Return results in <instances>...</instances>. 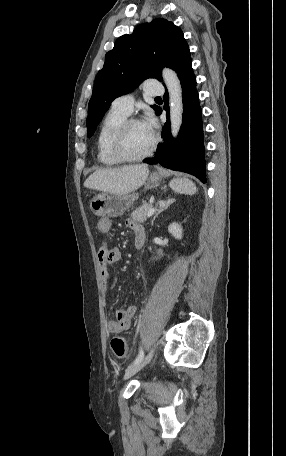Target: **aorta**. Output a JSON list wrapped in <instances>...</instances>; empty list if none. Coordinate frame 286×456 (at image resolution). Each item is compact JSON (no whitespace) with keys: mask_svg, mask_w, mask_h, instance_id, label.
I'll list each match as a JSON object with an SVG mask.
<instances>
[{"mask_svg":"<svg viewBox=\"0 0 286 456\" xmlns=\"http://www.w3.org/2000/svg\"><path fill=\"white\" fill-rule=\"evenodd\" d=\"M162 76L169 92L171 131L172 135L176 137L182 124V88L177 74L173 70L164 68Z\"/></svg>","mask_w":286,"mask_h":456,"instance_id":"aorta-1","label":"aorta"}]
</instances>
